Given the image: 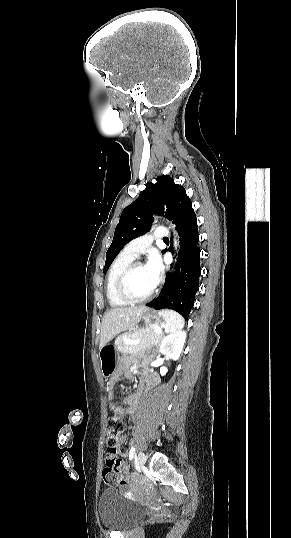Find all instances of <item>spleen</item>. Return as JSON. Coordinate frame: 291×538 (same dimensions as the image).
Segmentation results:
<instances>
[{
  "label": "spleen",
  "mask_w": 291,
  "mask_h": 538,
  "mask_svg": "<svg viewBox=\"0 0 291 538\" xmlns=\"http://www.w3.org/2000/svg\"><path fill=\"white\" fill-rule=\"evenodd\" d=\"M165 319L167 329L170 332H179L184 327V318L173 310H161L159 312Z\"/></svg>",
  "instance_id": "obj_1"
}]
</instances>
